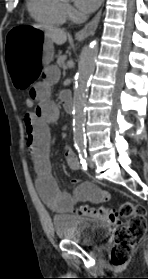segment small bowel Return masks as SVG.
I'll list each match as a JSON object with an SVG mask.
<instances>
[{
	"label": "small bowel",
	"mask_w": 148,
	"mask_h": 279,
	"mask_svg": "<svg viewBox=\"0 0 148 279\" xmlns=\"http://www.w3.org/2000/svg\"><path fill=\"white\" fill-rule=\"evenodd\" d=\"M59 70L48 67L42 72V80L29 91L37 105L26 113L24 123L26 129V145L34 162L37 173L36 187L43 201L56 213H70L75 204L80 202H101L108 199L109 194L90 182L73 179L76 188L72 194L62 191L51 174L49 162L50 131L49 126L59 118V108L51 100V86L58 80ZM66 94H62L61 98ZM68 167L72 170L80 168L79 161L71 149L64 151Z\"/></svg>",
	"instance_id": "small-bowel-1"
}]
</instances>
